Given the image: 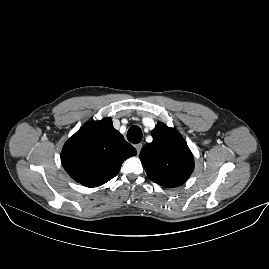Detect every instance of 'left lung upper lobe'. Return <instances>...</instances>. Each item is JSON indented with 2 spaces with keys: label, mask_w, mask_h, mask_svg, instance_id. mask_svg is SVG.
<instances>
[{
  "label": "left lung upper lobe",
  "mask_w": 269,
  "mask_h": 269,
  "mask_svg": "<svg viewBox=\"0 0 269 269\" xmlns=\"http://www.w3.org/2000/svg\"><path fill=\"white\" fill-rule=\"evenodd\" d=\"M153 141L140 152L148 177L164 187L182 185L194 169L193 155L182 136L163 123L152 131Z\"/></svg>",
  "instance_id": "obj_1"
}]
</instances>
